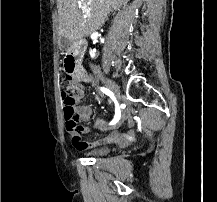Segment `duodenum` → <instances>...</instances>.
<instances>
[{"mask_svg": "<svg viewBox=\"0 0 217 202\" xmlns=\"http://www.w3.org/2000/svg\"><path fill=\"white\" fill-rule=\"evenodd\" d=\"M84 51V45L77 43L64 57V67L68 74L76 80L86 82L88 80L81 65V58Z\"/></svg>", "mask_w": 217, "mask_h": 202, "instance_id": "duodenum-1", "label": "duodenum"}]
</instances>
